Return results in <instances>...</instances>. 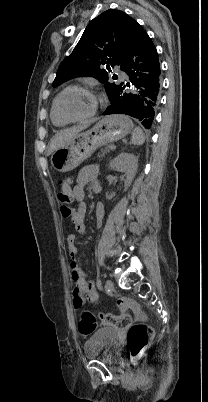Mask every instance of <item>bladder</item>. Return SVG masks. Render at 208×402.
I'll list each match as a JSON object with an SVG mask.
<instances>
[{"instance_id": "1", "label": "bladder", "mask_w": 208, "mask_h": 402, "mask_svg": "<svg viewBox=\"0 0 208 402\" xmlns=\"http://www.w3.org/2000/svg\"><path fill=\"white\" fill-rule=\"evenodd\" d=\"M121 340L114 328H99L85 343L86 358L98 357L115 359V353L120 349Z\"/></svg>"}]
</instances>
